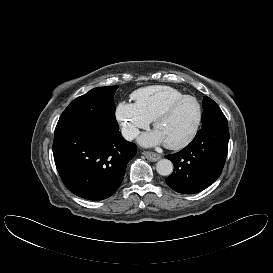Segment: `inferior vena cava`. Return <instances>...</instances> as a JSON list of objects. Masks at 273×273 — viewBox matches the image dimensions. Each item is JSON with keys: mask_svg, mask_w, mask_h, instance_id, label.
<instances>
[{"mask_svg": "<svg viewBox=\"0 0 273 273\" xmlns=\"http://www.w3.org/2000/svg\"><path fill=\"white\" fill-rule=\"evenodd\" d=\"M138 134L139 131L136 128L127 127L122 129V136L128 141H131L134 138H136Z\"/></svg>", "mask_w": 273, "mask_h": 273, "instance_id": "inferior-vena-cava-1", "label": "inferior vena cava"}]
</instances>
